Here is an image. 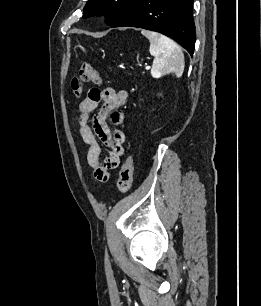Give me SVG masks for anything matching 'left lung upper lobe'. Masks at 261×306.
Returning <instances> with one entry per match:
<instances>
[{"label": "left lung upper lobe", "mask_w": 261, "mask_h": 306, "mask_svg": "<svg viewBox=\"0 0 261 306\" xmlns=\"http://www.w3.org/2000/svg\"><path fill=\"white\" fill-rule=\"evenodd\" d=\"M134 0H89L84 9L83 17L96 14L105 15V23L112 26L128 10Z\"/></svg>", "instance_id": "obj_1"}]
</instances>
